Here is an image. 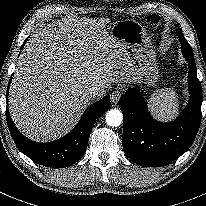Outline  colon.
I'll return each mask as SVG.
<instances>
[{"instance_id":"colon-1","label":"colon","mask_w":206,"mask_h":206,"mask_svg":"<svg viewBox=\"0 0 206 206\" xmlns=\"http://www.w3.org/2000/svg\"><path fill=\"white\" fill-rule=\"evenodd\" d=\"M148 22L152 23V24L159 25V26L162 25V21H161V19L158 16H151L148 19Z\"/></svg>"}]
</instances>
